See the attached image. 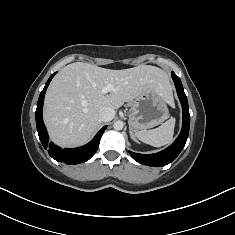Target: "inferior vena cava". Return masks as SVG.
Segmentation results:
<instances>
[{"label": "inferior vena cava", "instance_id": "602c4592", "mask_svg": "<svg viewBox=\"0 0 235 235\" xmlns=\"http://www.w3.org/2000/svg\"><path fill=\"white\" fill-rule=\"evenodd\" d=\"M99 120L103 122L111 121L115 116V110L111 107H102L99 110Z\"/></svg>", "mask_w": 235, "mask_h": 235}]
</instances>
